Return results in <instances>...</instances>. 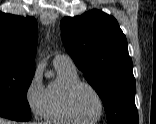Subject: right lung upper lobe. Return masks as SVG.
Here are the masks:
<instances>
[{
  "mask_svg": "<svg viewBox=\"0 0 156 124\" xmlns=\"http://www.w3.org/2000/svg\"><path fill=\"white\" fill-rule=\"evenodd\" d=\"M37 29L33 17L0 11V65L35 70Z\"/></svg>",
  "mask_w": 156,
  "mask_h": 124,
  "instance_id": "right-lung-upper-lobe-1",
  "label": "right lung upper lobe"
}]
</instances>
